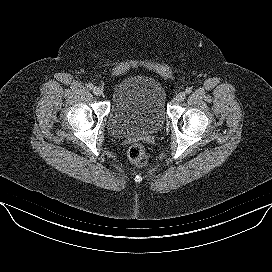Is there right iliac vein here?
Here are the masks:
<instances>
[{
	"label": "right iliac vein",
	"instance_id": "1",
	"mask_svg": "<svg viewBox=\"0 0 272 272\" xmlns=\"http://www.w3.org/2000/svg\"><path fill=\"white\" fill-rule=\"evenodd\" d=\"M93 93H94V95H96V96H100V95L103 94V90H102V88H100V87H98V86H95V87L93 88Z\"/></svg>",
	"mask_w": 272,
	"mask_h": 272
}]
</instances>
